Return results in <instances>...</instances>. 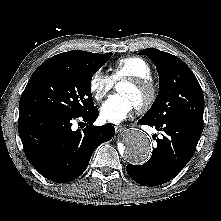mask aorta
<instances>
[{
	"instance_id": "aorta-1",
	"label": "aorta",
	"mask_w": 221,
	"mask_h": 221,
	"mask_svg": "<svg viewBox=\"0 0 221 221\" xmlns=\"http://www.w3.org/2000/svg\"><path fill=\"white\" fill-rule=\"evenodd\" d=\"M122 155L132 164H142L148 160L152 148L149 136L141 130L131 129L123 137Z\"/></svg>"
}]
</instances>
